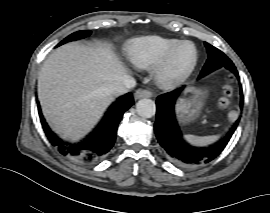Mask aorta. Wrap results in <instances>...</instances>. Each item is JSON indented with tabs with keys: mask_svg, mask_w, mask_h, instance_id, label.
<instances>
[{
	"mask_svg": "<svg viewBox=\"0 0 270 213\" xmlns=\"http://www.w3.org/2000/svg\"><path fill=\"white\" fill-rule=\"evenodd\" d=\"M137 113L144 118H151L156 113L155 102L151 99H141L136 104Z\"/></svg>",
	"mask_w": 270,
	"mask_h": 213,
	"instance_id": "762f6f07",
	"label": "aorta"
}]
</instances>
